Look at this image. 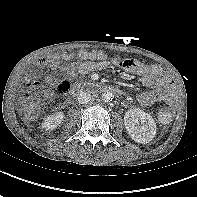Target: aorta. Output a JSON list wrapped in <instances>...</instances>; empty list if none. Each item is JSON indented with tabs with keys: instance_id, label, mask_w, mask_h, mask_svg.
<instances>
[{
	"instance_id": "obj_1",
	"label": "aorta",
	"mask_w": 197,
	"mask_h": 197,
	"mask_svg": "<svg viewBox=\"0 0 197 197\" xmlns=\"http://www.w3.org/2000/svg\"><path fill=\"white\" fill-rule=\"evenodd\" d=\"M113 98H114V95L112 92L107 91L102 94V100L104 102H111Z\"/></svg>"
}]
</instances>
